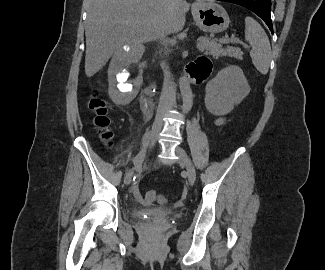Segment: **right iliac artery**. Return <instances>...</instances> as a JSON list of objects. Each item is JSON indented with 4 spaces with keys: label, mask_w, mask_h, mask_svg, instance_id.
Listing matches in <instances>:
<instances>
[{
    "label": "right iliac artery",
    "mask_w": 325,
    "mask_h": 270,
    "mask_svg": "<svg viewBox=\"0 0 325 270\" xmlns=\"http://www.w3.org/2000/svg\"><path fill=\"white\" fill-rule=\"evenodd\" d=\"M148 134L149 133H146L143 137V140H142V147H141V150L140 152L136 155V157L133 159V162L134 164L140 159L142 158L144 155H145V152H146V148L148 146Z\"/></svg>",
    "instance_id": "obj_1"
}]
</instances>
